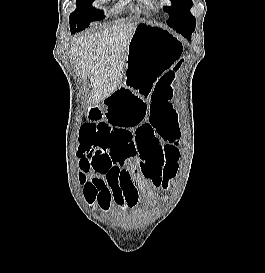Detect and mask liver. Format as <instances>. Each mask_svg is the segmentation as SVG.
Listing matches in <instances>:
<instances>
[{
    "label": "liver",
    "mask_w": 265,
    "mask_h": 273,
    "mask_svg": "<svg viewBox=\"0 0 265 273\" xmlns=\"http://www.w3.org/2000/svg\"><path fill=\"white\" fill-rule=\"evenodd\" d=\"M137 25H116L81 37L72 44L71 57L81 67V74L88 75L93 84L90 104L105 100L123 85L128 47Z\"/></svg>",
    "instance_id": "liver-1"
}]
</instances>
